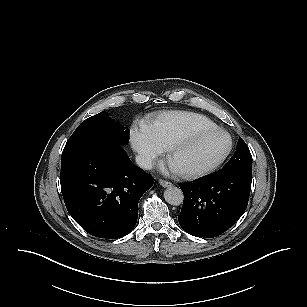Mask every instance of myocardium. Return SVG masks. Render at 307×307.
<instances>
[{
    "label": "myocardium",
    "instance_id": "f54148a6",
    "mask_svg": "<svg viewBox=\"0 0 307 307\" xmlns=\"http://www.w3.org/2000/svg\"><path fill=\"white\" fill-rule=\"evenodd\" d=\"M218 133L224 134L228 138L229 144H228L226 151L216 161H214L213 163L207 166L200 167V168L193 169V170L178 171L177 174L180 177L184 179H195V178H199V177L208 175L216 171L218 168H220L225 163V161L228 159V157L233 151V147H234L233 137L227 130L217 126L211 129L195 131L166 148V154L170 158L172 155L188 148L189 146H191L193 143L197 142L198 140L206 138L214 134H218Z\"/></svg>",
    "mask_w": 307,
    "mask_h": 307
}]
</instances>
